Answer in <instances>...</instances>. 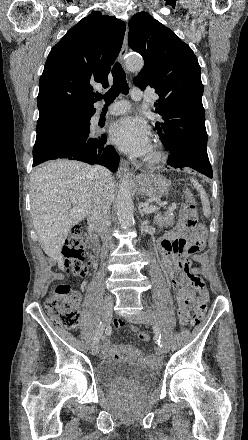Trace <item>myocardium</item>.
Segmentation results:
<instances>
[{
	"mask_svg": "<svg viewBox=\"0 0 248 440\" xmlns=\"http://www.w3.org/2000/svg\"><path fill=\"white\" fill-rule=\"evenodd\" d=\"M164 157L163 150L159 146H154L145 160L146 165L150 168H155L164 160Z\"/></svg>",
	"mask_w": 248,
	"mask_h": 440,
	"instance_id": "obj_1",
	"label": "myocardium"
}]
</instances>
